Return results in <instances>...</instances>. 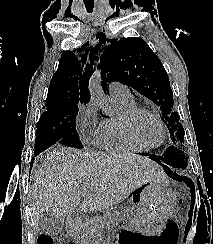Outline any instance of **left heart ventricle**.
Returning a JSON list of instances; mask_svg holds the SVG:
<instances>
[{"label":"left heart ventricle","mask_w":213,"mask_h":244,"mask_svg":"<svg viewBox=\"0 0 213 244\" xmlns=\"http://www.w3.org/2000/svg\"><path fill=\"white\" fill-rule=\"evenodd\" d=\"M136 131L149 144H157L163 137V131L158 122L148 115H143L138 119Z\"/></svg>","instance_id":"1"}]
</instances>
